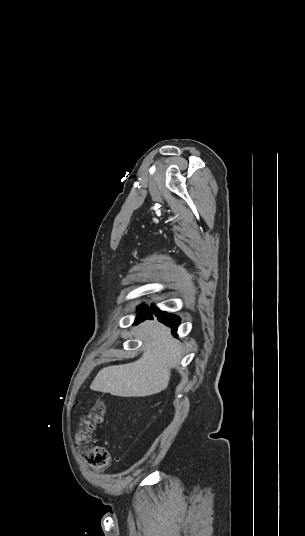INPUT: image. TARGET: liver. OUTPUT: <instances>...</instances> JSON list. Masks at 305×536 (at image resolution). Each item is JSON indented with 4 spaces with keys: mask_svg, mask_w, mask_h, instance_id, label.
<instances>
[{
    "mask_svg": "<svg viewBox=\"0 0 305 536\" xmlns=\"http://www.w3.org/2000/svg\"><path fill=\"white\" fill-rule=\"evenodd\" d=\"M139 332L145 342L142 358L133 364L103 368L90 390L123 398L152 396L166 390L170 370L181 360V346L172 338L169 328L158 322H143Z\"/></svg>",
    "mask_w": 305,
    "mask_h": 536,
    "instance_id": "1",
    "label": "liver"
}]
</instances>
